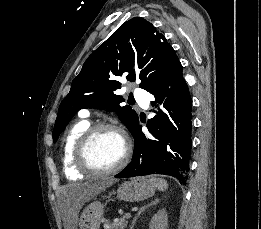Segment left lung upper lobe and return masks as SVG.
<instances>
[{"label": "left lung upper lobe", "instance_id": "obj_1", "mask_svg": "<svg viewBox=\"0 0 261 229\" xmlns=\"http://www.w3.org/2000/svg\"><path fill=\"white\" fill-rule=\"evenodd\" d=\"M179 63L172 46L156 28L141 17L123 23L85 61L71 83L68 95L59 106L53 130V142L71 118L82 108L114 110L133 133L138 116L125 100L115 94L121 88L116 76L130 82L140 79V87L149 90L164 74Z\"/></svg>", "mask_w": 261, "mask_h": 229}]
</instances>
